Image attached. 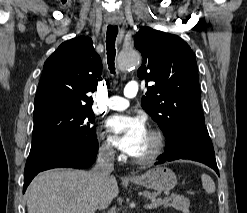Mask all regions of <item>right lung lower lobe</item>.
Returning <instances> with one entry per match:
<instances>
[{
    "instance_id": "1",
    "label": "right lung lower lobe",
    "mask_w": 247,
    "mask_h": 213,
    "mask_svg": "<svg viewBox=\"0 0 247 213\" xmlns=\"http://www.w3.org/2000/svg\"><path fill=\"white\" fill-rule=\"evenodd\" d=\"M97 151L98 143L91 148H84L71 136L56 139L30 150L24 172L23 193L41 171L59 167L78 169L90 167L95 161Z\"/></svg>"
}]
</instances>
